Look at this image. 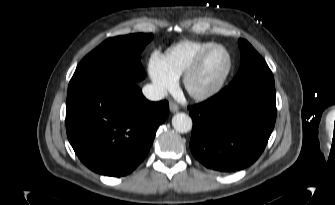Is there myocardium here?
I'll return each instance as SVG.
<instances>
[{"label":"myocardium","instance_id":"f54148a6","mask_svg":"<svg viewBox=\"0 0 335 205\" xmlns=\"http://www.w3.org/2000/svg\"><path fill=\"white\" fill-rule=\"evenodd\" d=\"M217 49L223 50L228 58V64L225 72L221 76V78L210 88L203 90V91H197L192 88V82L194 78L197 76V74L202 69L206 59L208 56L214 52ZM233 69V57L231 52L226 48L224 45L221 44H214L204 51H202L198 57L195 59V61L192 63V65L188 68V70L184 73L183 76V86L187 94L197 101H206L214 96H216L225 86L231 72Z\"/></svg>","mask_w":335,"mask_h":205}]
</instances>
